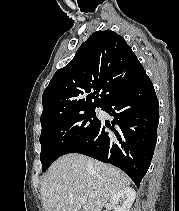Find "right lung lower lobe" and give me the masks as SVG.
<instances>
[{"label": "right lung lower lobe", "instance_id": "right-lung-lower-lobe-1", "mask_svg": "<svg viewBox=\"0 0 179 211\" xmlns=\"http://www.w3.org/2000/svg\"><path fill=\"white\" fill-rule=\"evenodd\" d=\"M158 99L146 72L102 108L114 117L101 121L90 139L72 153H80L122 169L139 187L153 157L159 122ZM110 128L114 135L105 132Z\"/></svg>", "mask_w": 179, "mask_h": 211}]
</instances>
